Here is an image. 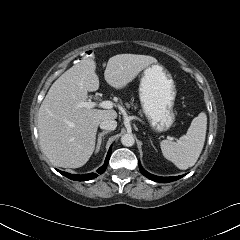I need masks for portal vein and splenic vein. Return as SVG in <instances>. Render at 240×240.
Masks as SVG:
<instances>
[{"label": "portal vein and splenic vein", "mask_w": 240, "mask_h": 240, "mask_svg": "<svg viewBox=\"0 0 240 240\" xmlns=\"http://www.w3.org/2000/svg\"><path fill=\"white\" fill-rule=\"evenodd\" d=\"M97 106L104 108V109H112L113 103L111 101L105 100V101H101L99 103L89 101V102H80L77 104V107L86 108V109H91V108H94ZM170 139L173 140V137H171Z\"/></svg>", "instance_id": "18ae733b"}]
</instances>
